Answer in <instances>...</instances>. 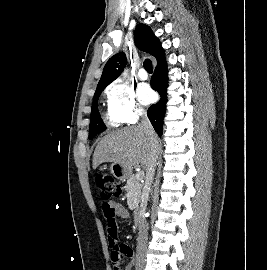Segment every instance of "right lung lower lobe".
Returning <instances> with one entry per match:
<instances>
[{
    "mask_svg": "<svg viewBox=\"0 0 267 270\" xmlns=\"http://www.w3.org/2000/svg\"><path fill=\"white\" fill-rule=\"evenodd\" d=\"M150 83L151 87L160 94L161 98L158 103L152 105L148 109L147 115L155 131L161 137L163 128V118L165 115V107H166L165 104L167 102L166 89L168 83L165 54H163L157 60L155 73L152 76Z\"/></svg>",
    "mask_w": 267,
    "mask_h": 270,
    "instance_id": "right-lung-lower-lobe-1",
    "label": "right lung lower lobe"
}]
</instances>
